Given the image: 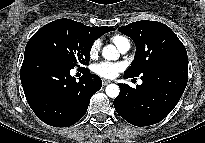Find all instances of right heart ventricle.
I'll return each instance as SVG.
<instances>
[{"mask_svg":"<svg viewBox=\"0 0 205 143\" xmlns=\"http://www.w3.org/2000/svg\"><path fill=\"white\" fill-rule=\"evenodd\" d=\"M111 40L116 45V47L119 48V46L128 39L123 35L117 34V35L112 36Z\"/></svg>","mask_w":205,"mask_h":143,"instance_id":"obj_1","label":"right heart ventricle"}]
</instances>
